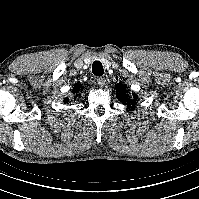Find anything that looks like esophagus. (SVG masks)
<instances>
[{"mask_svg":"<svg viewBox=\"0 0 199 199\" xmlns=\"http://www.w3.org/2000/svg\"><path fill=\"white\" fill-rule=\"evenodd\" d=\"M97 84L99 85V87H104L106 84V79L104 77H99L97 78Z\"/></svg>","mask_w":199,"mask_h":199,"instance_id":"obj_1","label":"esophagus"}]
</instances>
